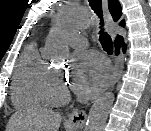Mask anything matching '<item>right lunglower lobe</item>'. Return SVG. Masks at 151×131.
<instances>
[{
    "label": "right lung lower lobe",
    "instance_id": "right-lung-lower-lobe-1",
    "mask_svg": "<svg viewBox=\"0 0 151 131\" xmlns=\"http://www.w3.org/2000/svg\"><path fill=\"white\" fill-rule=\"evenodd\" d=\"M115 46H116V53H118V48L120 47V46H125V44H124V42H123V38H120V39H117L116 41H115ZM125 51V50H124Z\"/></svg>",
    "mask_w": 151,
    "mask_h": 131
}]
</instances>
